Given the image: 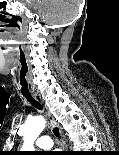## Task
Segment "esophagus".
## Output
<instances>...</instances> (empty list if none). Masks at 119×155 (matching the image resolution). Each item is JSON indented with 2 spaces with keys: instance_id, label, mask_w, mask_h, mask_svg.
I'll list each match as a JSON object with an SVG mask.
<instances>
[{
  "instance_id": "1",
  "label": "esophagus",
  "mask_w": 119,
  "mask_h": 155,
  "mask_svg": "<svg viewBox=\"0 0 119 155\" xmlns=\"http://www.w3.org/2000/svg\"><path fill=\"white\" fill-rule=\"evenodd\" d=\"M33 97L35 98V100H37L42 106H43V111L45 113V116L46 118L48 119V121L53 124L54 126H57L59 127L58 123L54 120V117L51 115L50 111L48 110V108L46 107V105H44V101L41 97L40 94L38 93H33ZM60 128V127H59ZM60 134H61V137H62V141H63V146L65 144V141H64V133L62 131V129L60 128Z\"/></svg>"
}]
</instances>
